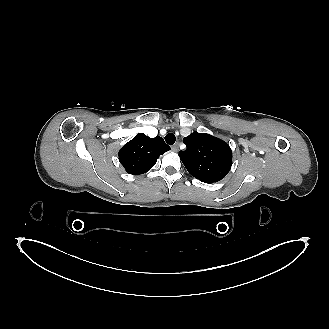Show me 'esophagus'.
<instances>
[{
	"mask_svg": "<svg viewBox=\"0 0 329 329\" xmlns=\"http://www.w3.org/2000/svg\"><path fill=\"white\" fill-rule=\"evenodd\" d=\"M171 149L175 152L179 151V144L177 143V144L172 145Z\"/></svg>",
	"mask_w": 329,
	"mask_h": 329,
	"instance_id": "obj_1",
	"label": "esophagus"
}]
</instances>
